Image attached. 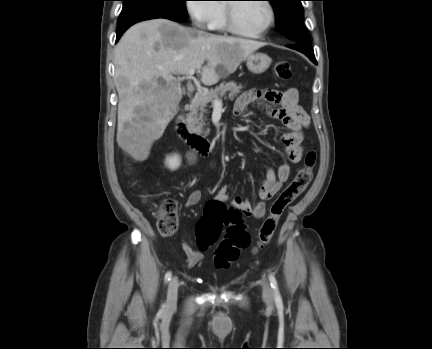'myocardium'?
<instances>
[{
  "label": "myocardium",
  "instance_id": "1",
  "mask_svg": "<svg viewBox=\"0 0 432 349\" xmlns=\"http://www.w3.org/2000/svg\"><path fill=\"white\" fill-rule=\"evenodd\" d=\"M269 9V21L264 29L258 32H247L240 29L235 19V7L238 2H227L226 3V28L233 34L247 38H261L268 34L271 28L274 26L276 21V11L273 3L270 0H262Z\"/></svg>",
  "mask_w": 432,
  "mask_h": 349
}]
</instances>
